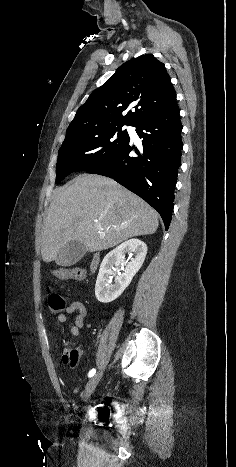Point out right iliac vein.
Instances as JSON below:
<instances>
[{"label":"right iliac vein","instance_id":"63e3f726","mask_svg":"<svg viewBox=\"0 0 236 467\" xmlns=\"http://www.w3.org/2000/svg\"><path fill=\"white\" fill-rule=\"evenodd\" d=\"M102 378V372H99L95 374L87 383L85 390L82 393V398L84 401H86L90 395L93 393L95 390L96 386L98 385L99 381Z\"/></svg>","mask_w":236,"mask_h":467}]
</instances>
